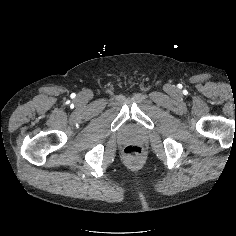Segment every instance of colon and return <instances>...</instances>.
<instances>
[{
  "label": "colon",
  "instance_id": "obj_1",
  "mask_svg": "<svg viewBox=\"0 0 236 236\" xmlns=\"http://www.w3.org/2000/svg\"><path fill=\"white\" fill-rule=\"evenodd\" d=\"M124 153L130 158H140L143 154V150L138 145H129L124 149Z\"/></svg>",
  "mask_w": 236,
  "mask_h": 236
}]
</instances>
